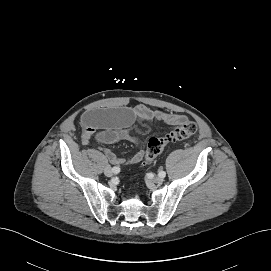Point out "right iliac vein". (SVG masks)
<instances>
[{
	"instance_id": "63e3f726",
	"label": "right iliac vein",
	"mask_w": 271,
	"mask_h": 271,
	"mask_svg": "<svg viewBox=\"0 0 271 271\" xmlns=\"http://www.w3.org/2000/svg\"><path fill=\"white\" fill-rule=\"evenodd\" d=\"M104 174L107 176V177H111L113 176V171L111 168L107 167L105 170H104Z\"/></svg>"
}]
</instances>
